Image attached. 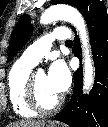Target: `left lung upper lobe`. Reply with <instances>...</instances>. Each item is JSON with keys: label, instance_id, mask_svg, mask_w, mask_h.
Instances as JSON below:
<instances>
[{"label": "left lung upper lobe", "instance_id": "obj_1", "mask_svg": "<svg viewBox=\"0 0 108 127\" xmlns=\"http://www.w3.org/2000/svg\"><path fill=\"white\" fill-rule=\"evenodd\" d=\"M83 0H51V4H69L79 9ZM73 29V27H72ZM33 29L31 25L30 16L23 14L18 20L11 36L10 48H9V60L24 46V44L30 39Z\"/></svg>", "mask_w": 108, "mask_h": 127}]
</instances>
